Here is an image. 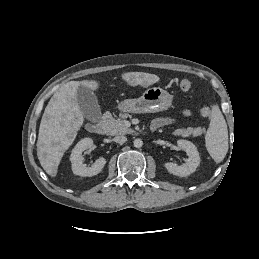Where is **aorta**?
<instances>
[{
	"mask_svg": "<svg viewBox=\"0 0 259 259\" xmlns=\"http://www.w3.org/2000/svg\"><path fill=\"white\" fill-rule=\"evenodd\" d=\"M133 144H134V147L141 148L143 146V141L141 139H135Z\"/></svg>",
	"mask_w": 259,
	"mask_h": 259,
	"instance_id": "aorta-1",
	"label": "aorta"
}]
</instances>
